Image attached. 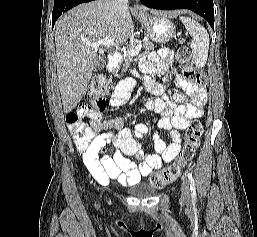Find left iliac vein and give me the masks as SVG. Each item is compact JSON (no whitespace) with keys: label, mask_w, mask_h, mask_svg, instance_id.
<instances>
[{"label":"left iliac vein","mask_w":257,"mask_h":237,"mask_svg":"<svg viewBox=\"0 0 257 237\" xmlns=\"http://www.w3.org/2000/svg\"><path fill=\"white\" fill-rule=\"evenodd\" d=\"M181 198L186 202L191 198L189 182L186 178L182 179Z\"/></svg>","instance_id":"1"}]
</instances>
